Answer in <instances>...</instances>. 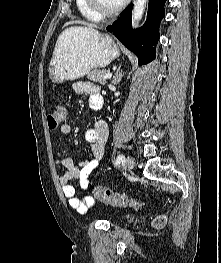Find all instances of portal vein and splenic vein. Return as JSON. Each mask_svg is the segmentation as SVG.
<instances>
[{"label": "portal vein and splenic vein", "mask_w": 221, "mask_h": 263, "mask_svg": "<svg viewBox=\"0 0 221 263\" xmlns=\"http://www.w3.org/2000/svg\"><path fill=\"white\" fill-rule=\"evenodd\" d=\"M111 77H112V73H108V74L105 75V79H109Z\"/></svg>", "instance_id": "obj_1"}]
</instances>
